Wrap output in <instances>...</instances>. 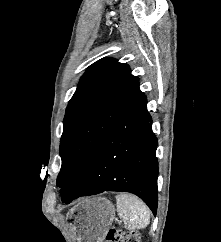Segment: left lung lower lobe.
<instances>
[{"mask_svg": "<svg viewBox=\"0 0 221 242\" xmlns=\"http://www.w3.org/2000/svg\"><path fill=\"white\" fill-rule=\"evenodd\" d=\"M157 138L144 97L96 142L80 172L63 191L62 202L104 191L139 196L157 211Z\"/></svg>", "mask_w": 221, "mask_h": 242, "instance_id": "1", "label": "left lung lower lobe"}]
</instances>
